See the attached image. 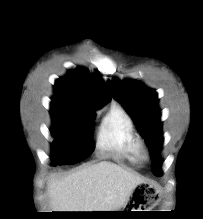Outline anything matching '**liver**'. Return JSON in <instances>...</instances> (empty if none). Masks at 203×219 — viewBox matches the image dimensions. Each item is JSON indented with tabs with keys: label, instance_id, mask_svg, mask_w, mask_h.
<instances>
[{
	"label": "liver",
	"instance_id": "obj_1",
	"mask_svg": "<svg viewBox=\"0 0 203 219\" xmlns=\"http://www.w3.org/2000/svg\"><path fill=\"white\" fill-rule=\"evenodd\" d=\"M143 182L121 166L102 161L67 177L52 178L47 191L55 212L116 211Z\"/></svg>",
	"mask_w": 203,
	"mask_h": 219
}]
</instances>
